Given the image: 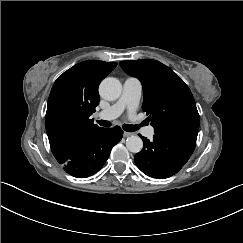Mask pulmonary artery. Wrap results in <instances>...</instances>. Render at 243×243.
Masks as SVG:
<instances>
[{
  "mask_svg": "<svg viewBox=\"0 0 243 243\" xmlns=\"http://www.w3.org/2000/svg\"><path fill=\"white\" fill-rule=\"evenodd\" d=\"M142 83L140 80L131 77H125L122 80V94L119 100L101 112L96 114V117L101 120H114L119 117L125 110L129 111L131 117L139 106L142 96ZM144 134L150 139H153L155 128L149 125L144 129Z\"/></svg>",
  "mask_w": 243,
  "mask_h": 243,
  "instance_id": "pulmonary-artery-1",
  "label": "pulmonary artery"
}]
</instances>
